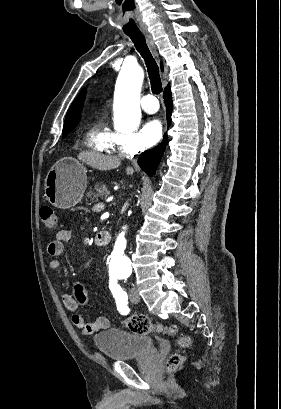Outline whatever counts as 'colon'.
I'll list each match as a JSON object with an SVG mask.
<instances>
[{
	"label": "colon",
	"instance_id": "colon-1",
	"mask_svg": "<svg viewBox=\"0 0 281 409\" xmlns=\"http://www.w3.org/2000/svg\"><path fill=\"white\" fill-rule=\"evenodd\" d=\"M41 219L46 230L53 231L58 228L57 215L54 208L48 205L41 206ZM124 325L132 332L139 334L147 333H163L166 335H174L178 332L176 324L163 325L155 323L148 316L142 313H136L128 317L124 321ZM179 344L186 348L189 346V339L186 336H181ZM182 363V357L179 355L172 356L169 359L168 366L170 369L177 368Z\"/></svg>",
	"mask_w": 281,
	"mask_h": 409
}]
</instances>
